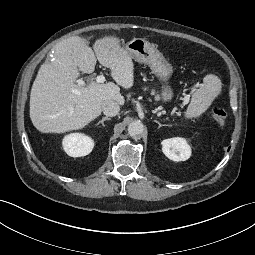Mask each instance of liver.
Listing matches in <instances>:
<instances>
[{"instance_id": "obj_1", "label": "liver", "mask_w": 255, "mask_h": 255, "mask_svg": "<svg viewBox=\"0 0 255 255\" xmlns=\"http://www.w3.org/2000/svg\"><path fill=\"white\" fill-rule=\"evenodd\" d=\"M97 60L111 70L116 82L87 86L75 84L80 72L90 74ZM134 82V64L116 36L95 41L93 50L86 39L72 36L52 49L41 65L30 94V118L42 133L78 130L100 116L102 103L113 100L124 104L120 86L129 89Z\"/></svg>"}]
</instances>
